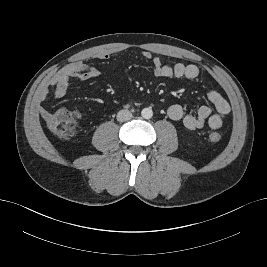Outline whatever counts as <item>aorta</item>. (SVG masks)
<instances>
[{
  "mask_svg": "<svg viewBox=\"0 0 267 267\" xmlns=\"http://www.w3.org/2000/svg\"><path fill=\"white\" fill-rule=\"evenodd\" d=\"M141 116L144 118V119H150L152 118L153 116V111L151 108H144L142 111H141Z\"/></svg>",
  "mask_w": 267,
  "mask_h": 267,
  "instance_id": "aorta-1",
  "label": "aorta"
}]
</instances>
